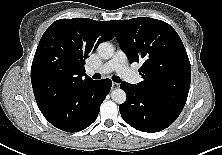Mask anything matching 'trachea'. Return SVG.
Segmentation results:
<instances>
[{"mask_svg": "<svg viewBox=\"0 0 222 155\" xmlns=\"http://www.w3.org/2000/svg\"><path fill=\"white\" fill-rule=\"evenodd\" d=\"M93 79H100L101 78V75L99 73H95L93 76H92ZM112 80L114 82H121V79L118 77V76H112Z\"/></svg>", "mask_w": 222, "mask_h": 155, "instance_id": "1", "label": "trachea"}]
</instances>
